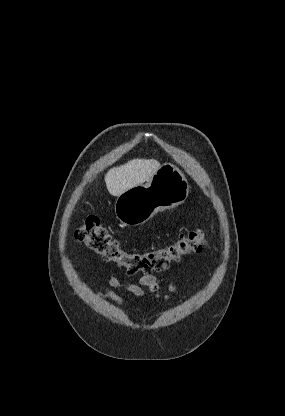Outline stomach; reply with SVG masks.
<instances>
[{
  "label": "stomach",
  "mask_w": 285,
  "mask_h": 416,
  "mask_svg": "<svg viewBox=\"0 0 285 416\" xmlns=\"http://www.w3.org/2000/svg\"><path fill=\"white\" fill-rule=\"evenodd\" d=\"M189 192V184L181 170L173 164H163L147 184L117 196L116 218L124 226H141L157 212L183 204Z\"/></svg>",
  "instance_id": "1"
}]
</instances>
